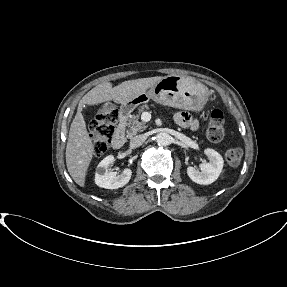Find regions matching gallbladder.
<instances>
[{
    "label": "gallbladder",
    "instance_id": "gallbladder-1",
    "mask_svg": "<svg viewBox=\"0 0 287 287\" xmlns=\"http://www.w3.org/2000/svg\"><path fill=\"white\" fill-rule=\"evenodd\" d=\"M83 110H84V111L86 110V107H85V106L83 107Z\"/></svg>",
    "mask_w": 287,
    "mask_h": 287
}]
</instances>
